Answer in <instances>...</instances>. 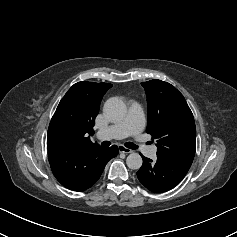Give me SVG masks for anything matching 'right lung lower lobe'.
<instances>
[{
    "mask_svg": "<svg viewBox=\"0 0 237 237\" xmlns=\"http://www.w3.org/2000/svg\"><path fill=\"white\" fill-rule=\"evenodd\" d=\"M118 152L116 145L82 151L48 145V159L54 176L63 186L74 191H84L95 184L105 165Z\"/></svg>",
    "mask_w": 237,
    "mask_h": 237,
    "instance_id": "98d812e1",
    "label": "right lung lower lobe"
}]
</instances>
